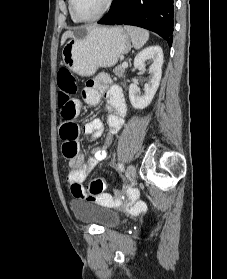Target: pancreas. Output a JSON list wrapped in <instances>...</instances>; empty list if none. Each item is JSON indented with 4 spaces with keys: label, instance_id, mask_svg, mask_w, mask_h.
Returning a JSON list of instances; mask_svg holds the SVG:
<instances>
[{
    "label": "pancreas",
    "instance_id": "cf45deb5",
    "mask_svg": "<svg viewBox=\"0 0 227 279\" xmlns=\"http://www.w3.org/2000/svg\"><path fill=\"white\" fill-rule=\"evenodd\" d=\"M113 72L116 76L123 77V75L125 73V68H123L122 65H119V66L115 67Z\"/></svg>",
    "mask_w": 227,
    "mask_h": 279
}]
</instances>
